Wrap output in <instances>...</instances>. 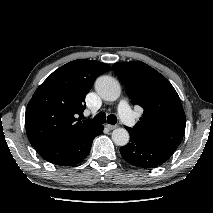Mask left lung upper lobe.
<instances>
[{"instance_id":"left-lung-upper-lobe-1","label":"left lung upper lobe","mask_w":213,"mask_h":213,"mask_svg":"<svg viewBox=\"0 0 213 213\" xmlns=\"http://www.w3.org/2000/svg\"><path fill=\"white\" fill-rule=\"evenodd\" d=\"M113 67L132 103L144 109L137 124L127 129L148 143L175 151L184 136L186 118L174 87L141 61L118 62Z\"/></svg>"}]
</instances>
